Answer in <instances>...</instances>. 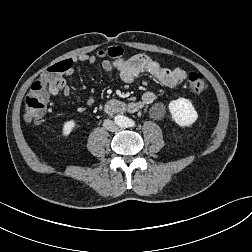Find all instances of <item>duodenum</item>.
Masks as SVG:
<instances>
[{"label":"duodenum","mask_w":252,"mask_h":252,"mask_svg":"<svg viewBox=\"0 0 252 252\" xmlns=\"http://www.w3.org/2000/svg\"><path fill=\"white\" fill-rule=\"evenodd\" d=\"M129 105H123L122 103L116 101V100H111L108 101L105 105H104V111L107 114H114L120 111H124V110H129Z\"/></svg>","instance_id":"410a0bca"}]
</instances>
